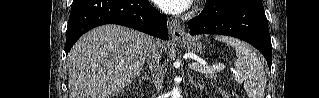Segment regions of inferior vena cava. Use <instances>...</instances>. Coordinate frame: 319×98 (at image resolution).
I'll return each instance as SVG.
<instances>
[{
    "label": "inferior vena cava",
    "instance_id": "inferior-vena-cava-1",
    "mask_svg": "<svg viewBox=\"0 0 319 98\" xmlns=\"http://www.w3.org/2000/svg\"><path fill=\"white\" fill-rule=\"evenodd\" d=\"M160 42L151 38L146 51L147 66L153 78L154 87L157 93L163 89L164 74L161 66Z\"/></svg>",
    "mask_w": 319,
    "mask_h": 98
}]
</instances>
